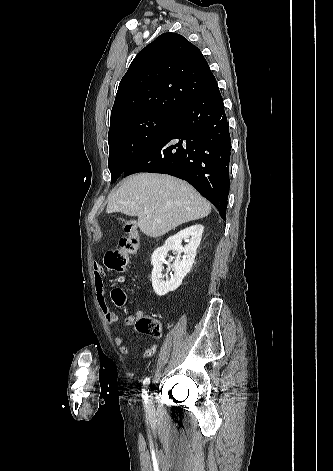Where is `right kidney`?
Listing matches in <instances>:
<instances>
[{"label": "right kidney", "mask_w": 333, "mask_h": 471, "mask_svg": "<svg viewBox=\"0 0 333 471\" xmlns=\"http://www.w3.org/2000/svg\"><path fill=\"white\" fill-rule=\"evenodd\" d=\"M204 227L201 224H196L185 228L169 237L163 246L157 248L151 258L153 265L152 270V287L158 296H164L170 291L176 290L182 283L184 277L189 273L194 259L196 250L200 244ZM187 242L183 247L182 241ZM176 251L177 258L173 263L174 274L170 280H164L162 275L163 264L168 251ZM184 253L181 259V254Z\"/></svg>", "instance_id": "obj_1"}]
</instances>
